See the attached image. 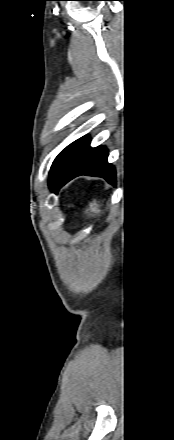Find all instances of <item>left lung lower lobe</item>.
Here are the masks:
<instances>
[{
	"instance_id": "left-lung-lower-lobe-1",
	"label": "left lung lower lobe",
	"mask_w": 174,
	"mask_h": 440,
	"mask_svg": "<svg viewBox=\"0 0 174 440\" xmlns=\"http://www.w3.org/2000/svg\"><path fill=\"white\" fill-rule=\"evenodd\" d=\"M107 157L108 151L105 147L91 148L89 137H81L77 140L66 166L57 177L53 192H57L68 181L80 175L103 177L115 185V168L107 162Z\"/></svg>"
}]
</instances>
